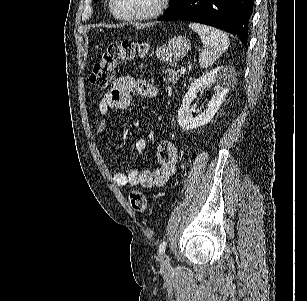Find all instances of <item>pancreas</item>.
Returning <instances> with one entry per match:
<instances>
[{"mask_svg":"<svg viewBox=\"0 0 307 301\" xmlns=\"http://www.w3.org/2000/svg\"><path fill=\"white\" fill-rule=\"evenodd\" d=\"M181 76H184V74H180L179 70H174V68H167V70L163 72L164 80H169V82H177V80H180Z\"/></svg>","mask_w":307,"mask_h":301,"instance_id":"cf45deb5","label":"pancreas"}]
</instances>
